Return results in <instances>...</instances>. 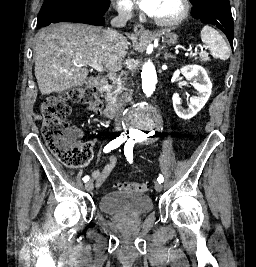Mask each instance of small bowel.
I'll return each instance as SVG.
<instances>
[{
	"label": "small bowel",
	"mask_w": 256,
	"mask_h": 267,
	"mask_svg": "<svg viewBox=\"0 0 256 267\" xmlns=\"http://www.w3.org/2000/svg\"><path fill=\"white\" fill-rule=\"evenodd\" d=\"M117 163H118L117 156L114 153H110L108 155L107 163L103 167L93 171L92 177L96 181L97 186L102 185L106 181V179L108 178L112 170L115 168Z\"/></svg>",
	"instance_id": "1"
}]
</instances>
